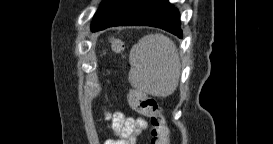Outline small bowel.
Masks as SVG:
<instances>
[{
  "label": "small bowel",
  "instance_id": "obj_1",
  "mask_svg": "<svg viewBox=\"0 0 273 144\" xmlns=\"http://www.w3.org/2000/svg\"><path fill=\"white\" fill-rule=\"evenodd\" d=\"M105 118L111 122V129L120 136L119 144H135L137 137L147 128L145 119H129L122 113L107 112Z\"/></svg>",
  "mask_w": 273,
  "mask_h": 144
}]
</instances>
